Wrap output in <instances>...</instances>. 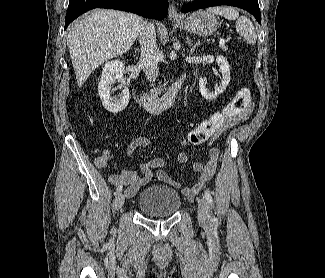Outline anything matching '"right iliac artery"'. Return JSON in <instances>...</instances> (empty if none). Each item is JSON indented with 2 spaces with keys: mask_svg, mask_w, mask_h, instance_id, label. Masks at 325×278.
Masks as SVG:
<instances>
[{
  "mask_svg": "<svg viewBox=\"0 0 325 278\" xmlns=\"http://www.w3.org/2000/svg\"><path fill=\"white\" fill-rule=\"evenodd\" d=\"M122 191V185H118L117 189H116V192H120Z\"/></svg>",
  "mask_w": 325,
  "mask_h": 278,
  "instance_id": "right-iliac-artery-1",
  "label": "right iliac artery"
}]
</instances>
